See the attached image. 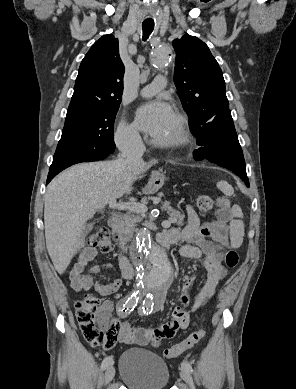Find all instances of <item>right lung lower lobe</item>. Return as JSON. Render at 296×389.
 <instances>
[{
	"label": "right lung lower lobe",
	"instance_id": "98d812e1",
	"mask_svg": "<svg viewBox=\"0 0 296 389\" xmlns=\"http://www.w3.org/2000/svg\"><path fill=\"white\" fill-rule=\"evenodd\" d=\"M62 170H63L62 168H50L49 174L47 177V183H49Z\"/></svg>",
	"mask_w": 296,
	"mask_h": 389
}]
</instances>
